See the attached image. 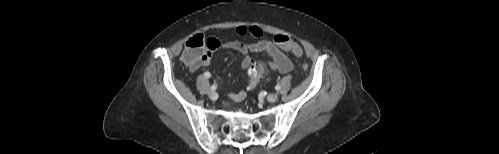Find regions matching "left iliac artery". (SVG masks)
Instances as JSON below:
<instances>
[{
	"instance_id": "obj_1",
	"label": "left iliac artery",
	"mask_w": 499,
	"mask_h": 154,
	"mask_svg": "<svg viewBox=\"0 0 499 154\" xmlns=\"http://www.w3.org/2000/svg\"><path fill=\"white\" fill-rule=\"evenodd\" d=\"M280 88H281V87H280V85H276V86H275V89H276L277 91H279V90H280Z\"/></svg>"
}]
</instances>
